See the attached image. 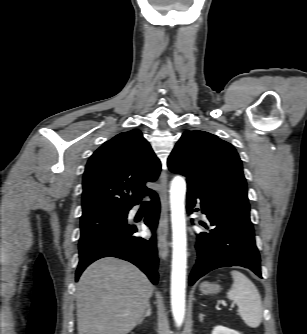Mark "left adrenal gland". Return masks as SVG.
I'll list each match as a JSON object with an SVG mask.
<instances>
[{
	"label": "left adrenal gland",
	"mask_w": 307,
	"mask_h": 334,
	"mask_svg": "<svg viewBox=\"0 0 307 334\" xmlns=\"http://www.w3.org/2000/svg\"><path fill=\"white\" fill-rule=\"evenodd\" d=\"M204 317H205V315H204V314H202V313H200V314H199V320H200V322H202V321H203Z\"/></svg>",
	"instance_id": "a2214340"
}]
</instances>
